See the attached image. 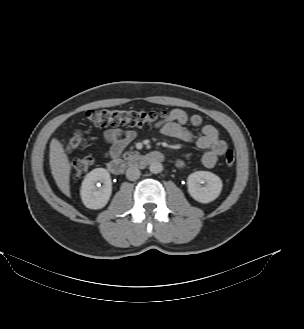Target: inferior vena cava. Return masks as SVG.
<instances>
[{
  "label": "inferior vena cava",
  "instance_id": "602c4592",
  "mask_svg": "<svg viewBox=\"0 0 304 329\" xmlns=\"http://www.w3.org/2000/svg\"><path fill=\"white\" fill-rule=\"evenodd\" d=\"M126 177L130 181H135L140 177V170L137 167H129L126 171Z\"/></svg>",
  "mask_w": 304,
  "mask_h": 329
}]
</instances>
